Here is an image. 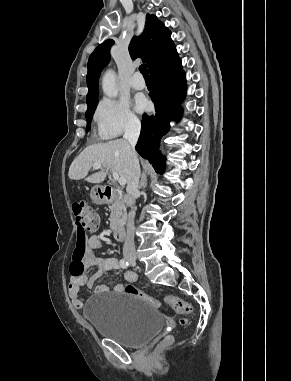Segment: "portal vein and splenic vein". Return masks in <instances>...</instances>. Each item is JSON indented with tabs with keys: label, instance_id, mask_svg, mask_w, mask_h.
<instances>
[{
	"label": "portal vein and splenic vein",
	"instance_id": "18ae733b",
	"mask_svg": "<svg viewBox=\"0 0 291 381\" xmlns=\"http://www.w3.org/2000/svg\"><path fill=\"white\" fill-rule=\"evenodd\" d=\"M102 166H103V165H102L101 163H94V164H93V168H94V169H99V168H101ZM109 169H110V168H107V170H109ZM110 171H111V173H112L113 178H114L115 181H118V183H119L120 185H125L126 181H125L124 178L119 177V175H118V173H117L116 171H114V170H112V169H110Z\"/></svg>",
	"mask_w": 291,
	"mask_h": 381
}]
</instances>
